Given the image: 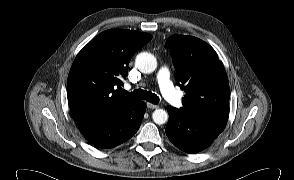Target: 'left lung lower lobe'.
<instances>
[{"label": "left lung lower lobe", "instance_id": "0a47b994", "mask_svg": "<svg viewBox=\"0 0 294 180\" xmlns=\"http://www.w3.org/2000/svg\"><path fill=\"white\" fill-rule=\"evenodd\" d=\"M167 111V137L180 150L190 154L207 148L224 130L227 123L225 117L190 116L172 106H168Z\"/></svg>", "mask_w": 294, "mask_h": 180}]
</instances>
